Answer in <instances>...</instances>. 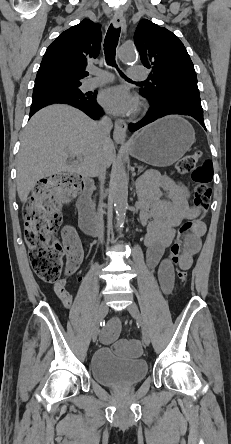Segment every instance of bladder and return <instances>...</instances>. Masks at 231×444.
<instances>
[{"label":"bladder","mask_w":231,"mask_h":444,"mask_svg":"<svg viewBox=\"0 0 231 444\" xmlns=\"http://www.w3.org/2000/svg\"><path fill=\"white\" fill-rule=\"evenodd\" d=\"M147 370L146 361L118 357L110 347L99 348L90 360L94 380L110 387L135 385L145 378Z\"/></svg>","instance_id":"obj_1"}]
</instances>
